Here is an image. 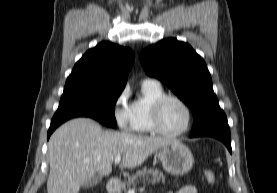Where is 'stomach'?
<instances>
[{
    "label": "stomach",
    "mask_w": 277,
    "mask_h": 193,
    "mask_svg": "<svg viewBox=\"0 0 277 193\" xmlns=\"http://www.w3.org/2000/svg\"><path fill=\"white\" fill-rule=\"evenodd\" d=\"M158 156L162 167L170 174L176 176L188 173L194 164L192 152L185 144L178 140L162 147Z\"/></svg>",
    "instance_id": "1"
}]
</instances>
